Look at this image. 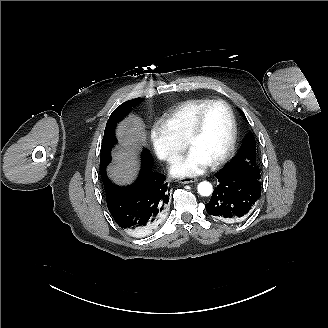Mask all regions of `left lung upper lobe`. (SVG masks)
<instances>
[{
  "label": "left lung upper lobe",
  "mask_w": 328,
  "mask_h": 328,
  "mask_svg": "<svg viewBox=\"0 0 328 328\" xmlns=\"http://www.w3.org/2000/svg\"><path fill=\"white\" fill-rule=\"evenodd\" d=\"M224 170L252 173L260 179V171L256 162V142L254 135L250 132L237 155L223 168Z\"/></svg>",
  "instance_id": "5c2ea615"
}]
</instances>
